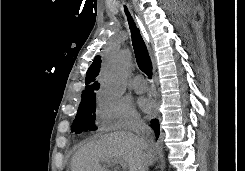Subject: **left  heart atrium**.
<instances>
[{"label": "left heart atrium", "mask_w": 245, "mask_h": 171, "mask_svg": "<svg viewBox=\"0 0 245 171\" xmlns=\"http://www.w3.org/2000/svg\"><path fill=\"white\" fill-rule=\"evenodd\" d=\"M141 105H142L143 109L146 111H150L153 107L152 102L148 101V100H142Z\"/></svg>", "instance_id": "left-heart-atrium-1"}]
</instances>
